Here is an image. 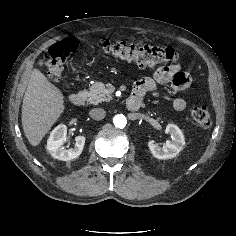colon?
I'll return each instance as SVG.
<instances>
[{
  "instance_id": "colon-1",
  "label": "colon",
  "mask_w": 236,
  "mask_h": 236,
  "mask_svg": "<svg viewBox=\"0 0 236 236\" xmlns=\"http://www.w3.org/2000/svg\"><path fill=\"white\" fill-rule=\"evenodd\" d=\"M77 40L64 39L51 46L45 53L47 76L53 82L62 78L67 58L77 48ZM99 50L105 55L136 63L140 67H150L160 63H175L179 56L171 47L154 44H138L123 41L113 42L100 40ZM192 118L202 128H208L212 123V115L206 106H198L192 110Z\"/></svg>"
}]
</instances>
